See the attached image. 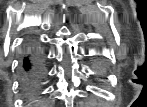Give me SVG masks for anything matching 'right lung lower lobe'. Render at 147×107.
Listing matches in <instances>:
<instances>
[{
    "label": "right lung lower lobe",
    "instance_id": "98d812e1",
    "mask_svg": "<svg viewBox=\"0 0 147 107\" xmlns=\"http://www.w3.org/2000/svg\"><path fill=\"white\" fill-rule=\"evenodd\" d=\"M23 82L29 92H35L43 80V66L36 48L30 49L23 58Z\"/></svg>",
    "mask_w": 147,
    "mask_h": 107
}]
</instances>
